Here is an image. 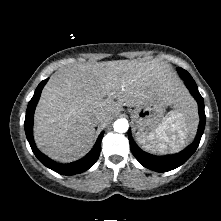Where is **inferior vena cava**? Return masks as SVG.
Here are the masks:
<instances>
[{
  "label": "inferior vena cava",
  "instance_id": "1",
  "mask_svg": "<svg viewBox=\"0 0 221 221\" xmlns=\"http://www.w3.org/2000/svg\"><path fill=\"white\" fill-rule=\"evenodd\" d=\"M97 124H102L106 121V117L104 115H97L95 119Z\"/></svg>",
  "mask_w": 221,
  "mask_h": 221
}]
</instances>
